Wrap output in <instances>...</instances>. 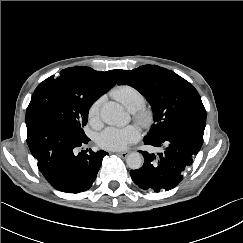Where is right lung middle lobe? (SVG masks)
Segmentation results:
<instances>
[{"label":"right lung middle lobe","instance_id":"dd1d6c3e","mask_svg":"<svg viewBox=\"0 0 243 243\" xmlns=\"http://www.w3.org/2000/svg\"><path fill=\"white\" fill-rule=\"evenodd\" d=\"M90 98L75 94L60 76H53L41 82L35 89L26 110L31 114H47L68 125L79 136H86L83 127L93 104Z\"/></svg>","mask_w":243,"mask_h":243}]
</instances>
